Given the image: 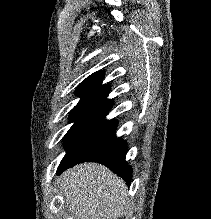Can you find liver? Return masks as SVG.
Returning <instances> with one entry per match:
<instances>
[{
	"label": "liver",
	"mask_w": 211,
	"mask_h": 219,
	"mask_svg": "<svg viewBox=\"0 0 211 219\" xmlns=\"http://www.w3.org/2000/svg\"><path fill=\"white\" fill-rule=\"evenodd\" d=\"M60 193L74 219H118L127 206L123 180L97 163H83L65 171Z\"/></svg>",
	"instance_id": "liver-1"
}]
</instances>
